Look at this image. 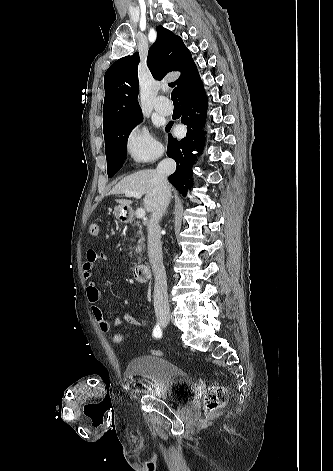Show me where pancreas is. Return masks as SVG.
Segmentation results:
<instances>
[{
  "label": "pancreas",
  "mask_w": 333,
  "mask_h": 471,
  "mask_svg": "<svg viewBox=\"0 0 333 471\" xmlns=\"http://www.w3.org/2000/svg\"><path fill=\"white\" fill-rule=\"evenodd\" d=\"M132 226L138 228V230L135 231V237L138 238V243L136 247H133V254L135 255L136 253H140L145 248V239L143 236L142 225L139 222H134ZM130 240L134 241V238H131ZM138 259L140 260V257Z\"/></svg>",
  "instance_id": "1"
}]
</instances>
